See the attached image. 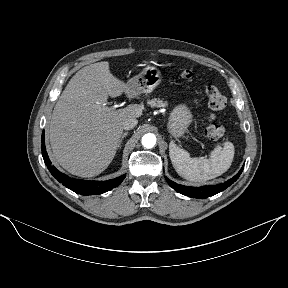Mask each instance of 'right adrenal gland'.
<instances>
[{
  "instance_id": "right-adrenal-gland-1",
  "label": "right adrenal gland",
  "mask_w": 288,
  "mask_h": 288,
  "mask_svg": "<svg viewBox=\"0 0 288 288\" xmlns=\"http://www.w3.org/2000/svg\"><path fill=\"white\" fill-rule=\"evenodd\" d=\"M128 132H124L120 138V141L118 143V149H121V145H122V142L124 140V138L127 136Z\"/></svg>"
}]
</instances>
